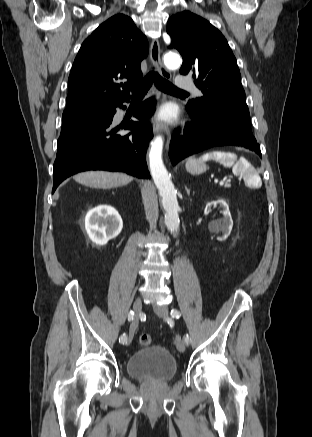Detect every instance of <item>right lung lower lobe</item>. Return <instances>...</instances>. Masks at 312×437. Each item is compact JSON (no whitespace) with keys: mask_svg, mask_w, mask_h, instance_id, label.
I'll return each instance as SVG.
<instances>
[{"mask_svg":"<svg viewBox=\"0 0 312 437\" xmlns=\"http://www.w3.org/2000/svg\"><path fill=\"white\" fill-rule=\"evenodd\" d=\"M122 102L110 108L107 118L60 135L52 192L67 177L87 170L122 171L138 178H150L145 154L153 131L144 120L155 111L154 101H145L134 114L140 122L114 125L116 107L125 108ZM126 129L133 131L122 133Z\"/></svg>","mask_w":312,"mask_h":437,"instance_id":"1","label":"right lung lower lobe"}]
</instances>
